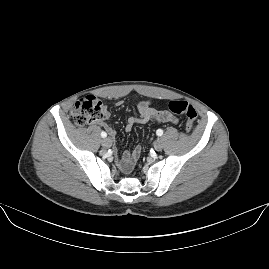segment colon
<instances>
[{"label":"colon","mask_w":269,"mask_h":269,"mask_svg":"<svg viewBox=\"0 0 269 269\" xmlns=\"http://www.w3.org/2000/svg\"><path fill=\"white\" fill-rule=\"evenodd\" d=\"M174 114H184L187 118L186 132H191V127L197 119L195 109L183 100H172L167 105ZM70 116L77 126L95 123L103 118V103L96 97L89 95L80 98L71 109Z\"/></svg>","instance_id":"5ec220e1"}]
</instances>
